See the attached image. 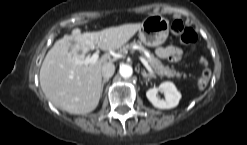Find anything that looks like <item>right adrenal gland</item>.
<instances>
[{
    "mask_svg": "<svg viewBox=\"0 0 247 145\" xmlns=\"http://www.w3.org/2000/svg\"><path fill=\"white\" fill-rule=\"evenodd\" d=\"M108 81H109V79H103V81H102V90H103L104 84H105L106 82H108Z\"/></svg>",
    "mask_w": 247,
    "mask_h": 145,
    "instance_id": "obj_1",
    "label": "right adrenal gland"
}]
</instances>
